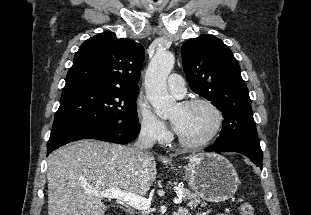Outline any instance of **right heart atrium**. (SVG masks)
<instances>
[{
	"instance_id": "1",
	"label": "right heart atrium",
	"mask_w": 311,
	"mask_h": 215,
	"mask_svg": "<svg viewBox=\"0 0 311 215\" xmlns=\"http://www.w3.org/2000/svg\"><path fill=\"white\" fill-rule=\"evenodd\" d=\"M135 115L141 134L149 140L164 142L170 137L165 124L154 114L150 105L138 98L135 103Z\"/></svg>"
}]
</instances>
